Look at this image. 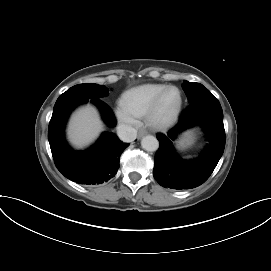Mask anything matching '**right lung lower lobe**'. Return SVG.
<instances>
[{"label": "right lung lower lobe", "instance_id": "98d812e1", "mask_svg": "<svg viewBox=\"0 0 271 271\" xmlns=\"http://www.w3.org/2000/svg\"><path fill=\"white\" fill-rule=\"evenodd\" d=\"M89 100H64L56 102L49 123L48 140L52 156L58 170L68 179L80 184H101L115 176L119 168L122 152L129 146L122 143L113 133H103L90 149L77 152L72 150L64 137V127L70 112ZM90 101L96 104L104 121L109 126L116 125V119L109 106L101 99Z\"/></svg>", "mask_w": 271, "mask_h": 271}]
</instances>
